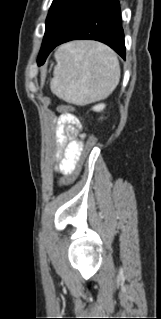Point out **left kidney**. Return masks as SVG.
<instances>
[{"instance_id":"left-kidney-1","label":"left kidney","mask_w":161,"mask_h":319,"mask_svg":"<svg viewBox=\"0 0 161 319\" xmlns=\"http://www.w3.org/2000/svg\"><path fill=\"white\" fill-rule=\"evenodd\" d=\"M105 108V104H98L93 107V110L96 112H100Z\"/></svg>"}]
</instances>
